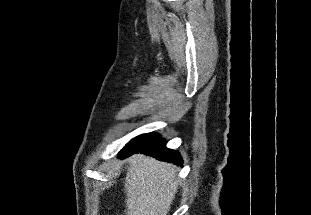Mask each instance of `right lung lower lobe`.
<instances>
[{"label":"right lung lower lobe","mask_w":311,"mask_h":215,"mask_svg":"<svg viewBox=\"0 0 311 215\" xmlns=\"http://www.w3.org/2000/svg\"><path fill=\"white\" fill-rule=\"evenodd\" d=\"M165 145V139L161 138L159 134H142L125 145L119 152V158H126L135 153H144L160 161L172 162L180 165L182 163L180 154L177 151L166 148Z\"/></svg>","instance_id":"obj_1"}]
</instances>
